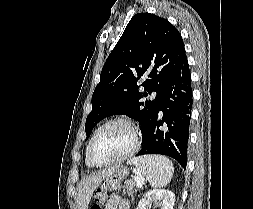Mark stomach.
<instances>
[{"mask_svg":"<svg viewBox=\"0 0 253 209\" xmlns=\"http://www.w3.org/2000/svg\"><path fill=\"white\" fill-rule=\"evenodd\" d=\"M129 176V171H119L116 168L114 172L104 179L103 183L95 189L94 198L100 203L105 198L106 192H112L113 189L118 188V182H123V179Z\"/></svg>","mask_w":253,"mask_h":209,"instance_id":"0dacf381","label":"stomach"}]
</instances>
